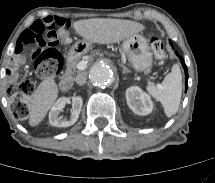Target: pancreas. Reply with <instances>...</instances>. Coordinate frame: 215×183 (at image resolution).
<instances>
[{"instance_id":"obj_1","label":"pancreas","mask_w":215,"mask_h":183,"mask_svg":"<svg viewBox=\"0 0 215 183\" xmlns=\"http://www.w3.org/2000/svg\"><path fill=\"white\" fill-rule=\"evenodd\" d=\"M68 63H69V65H70V68L75 69V66H76V64H77V60H73V61H71V62L68 61Z\"/></svg>"}]
</instances>
